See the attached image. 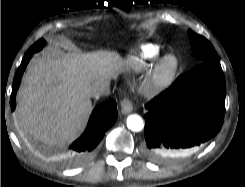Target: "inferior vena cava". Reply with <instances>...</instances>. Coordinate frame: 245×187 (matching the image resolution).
<instances>
[{"mask_svg": "<svg viewBox=\"0 0 245 187\" xmlns=\"http://www.w3.org/2000/svg\"><path fill=\"white\" fill-rule=\"evenodd\" d=\"M110 94V82L104 81L96 83L90 91V96L94 99L100 98V96H108Z\"/></svg>", "mask_w": 245, "mask_h": 187, "instance_id": "602c4592", "label": "inferior vena cava"}]
</instances>
